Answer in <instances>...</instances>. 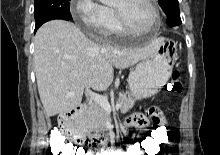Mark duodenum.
<instances>
[{
  "label": "duodenum",
  "instance_id": "obj_1",
  "mask_svg": "<svg viewBox=\"0 0 220 155\" xmlns=\"http://www.w3.org/2000/svg\"><path fill=\"white\" fill-rule=\"evenodd\" d=\"M83 110H84V107L82 105H77L73 107L72 109L62 114L60 123L65 132V135L68 138L73 140L75 143H81V145H83L86 148L85 146L86 141L88 139H91V137H88L80 133L75 128V121L81 117ZM95 136H101V135H95Z\"/></svg>",
  "mask_w": 220,
  "mask_h": 155
}]
</instances>
